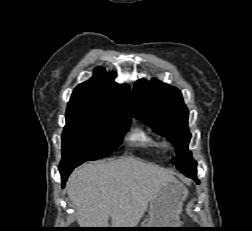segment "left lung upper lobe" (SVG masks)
I'll return each mask as SVG.
<instances>
[{"instance_id":"obj_1","label":"left lung upper lobe","mask_w":252,"mask_h":231,"mask_svg":"<svg viewBox=\"0 0 252 231\" xmlns=\"http://www.w3.org/2000/svg\"><path fill=\"white\" fill-rule=\"evenodd\" d=\"M132 115L167 137L176 146L172 163L180 172L196 169V162L188 150L191 134L188 131L189 112L181 92L153 79L138 80L131 98ZM197 170V169H196Z\"/></svg>"}]
</instances>
